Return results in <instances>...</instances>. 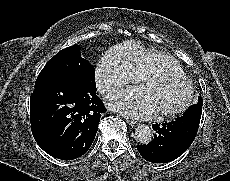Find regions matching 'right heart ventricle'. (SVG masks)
Returning <instances> with one entry per match:
<instances>
[{"mask_svg":"<svg viewBox=\"0 0 230 181\" xmlns=\"http://www.w3.org/2000/svg\"><path fill=\"white\" fill-rule=\"evenodd\" d=\"M107 60L114 66L126 70L135 80L158 71L184 74L181 66L172 57L136 41L116 45L107 52Z\"/></svg>","mask_w":230,"mask_h":181,"instance_id":"e07e8e85","label":"right heart ventricle"}]
</instances>
